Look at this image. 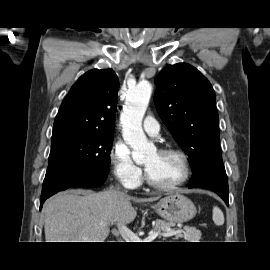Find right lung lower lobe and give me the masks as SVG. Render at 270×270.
I'll list each match as a JSON object with an SVG mask.
<instances>
[{"instance_id": "obj_1", "label": "right lung lower lobe", "mask_w": 270, "mask_h": 270, "mask_svg": "<svg viewBox=\"0 0 270 270\" xmlns=\"http://www.w3.org/2000/svg\"><path fill=\"white\" fill-rule=\"evenodd\" d=\"M107 174L103 171L89 173L83 169H78L75 165L47 174L42 187L40 210L45 200L55 193L67 188L100 186L104 183Z\"/></svg>"}]
</instances>
